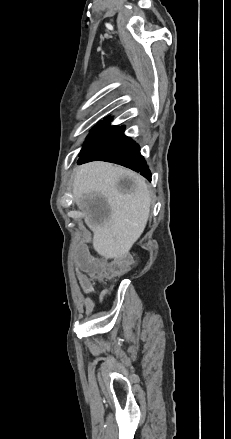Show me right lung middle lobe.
Listing matches in <instances>:
<instances>
[{"label":"right lung middle lobe","instance_id":"right-lung-middle-lobe-1","mask_svg":"<svg viewBox=\"0 0 231 439\" xmlns=\"http://www.w3.org/2000/svg\"><path fill=\"white\" fill-rule=\"evenodd\" d=\"M109 121L111 119L106 118L104 121H101L98 125H96L87 137V141L85 142L79 156L83 155L85 152L89 151L109 135H111L114 131H116L119 126H111Z\"/></svg>","mask_w":231,"mask_h":439}]
</instances>
